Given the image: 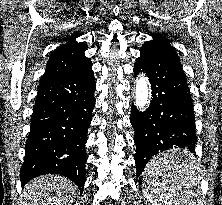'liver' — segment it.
I'll use <instances>...</instances> for the list:
<instances>
[{
	"label": "liver",
	"mask_w": 222,
	"mask_h": 205,
	"mask_svg": "<svg viewBox=\"0 0 222 205\" xmlns=\"http://www.w3.org/2000/svg\"><path fill=\"white\" fill-rule=\"evenodd\" d=\"M77 187L60 175H45L29 182L24 189V205H71Z\"/></svg>",
	"instance_id": "1"
}]
</instances>
